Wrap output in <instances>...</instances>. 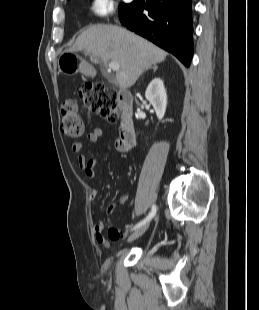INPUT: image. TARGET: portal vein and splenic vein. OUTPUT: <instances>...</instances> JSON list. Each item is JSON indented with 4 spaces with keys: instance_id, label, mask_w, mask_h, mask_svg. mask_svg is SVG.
Wrapping results in <instances>:
<instances>
[{
    "instance_id": "1",
    "label": "portal vein and splenic vein",
    "mask_w": 259,
    "mask_h": 310,
    "mask_svg": "<svg viewBox=\"0 0 259 310\" xmlns=\"http://www.w3.org/2000/svg\"><path fill=\"white\" fill-rule=\"evenodd\" d=\"M109 67L110 69H112L113 71H118L120 69V64L116 61H111L109 63Z\"/></svg>"
}]
</instances>
